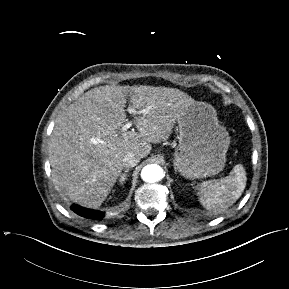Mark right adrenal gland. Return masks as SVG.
Returning a JSON list of instances; mask_svg holds the SVG:
<instances>
[{
  "mask_svg": "<svg viewBox=\"0 0 289 289\" xmlns=\"http://www.w3.org/2000/svg\"><path fill=\"white\" fill-rule=\"evenodd\" d=\"M127 172H129V169H126V170L124 171V173H122V174L120 175V179H119V184H120V185H123V183H124L125 180L127 179Z\"/></svg>",
  "mask_w": 289,
  "mask_h": 289,
  "instance_id": "obj_1",
  "label": "right adrenal gland"
}]
</instances>
